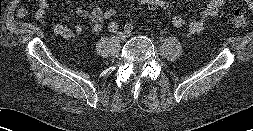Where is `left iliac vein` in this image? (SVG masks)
Instances as JSON below:
<instances>
[{"instance_id": "obj_1", "label": "left iliac vein", "mask_w": 253, "mask_h": 131, "mask_svg": "<svg viewBox=\"0 0 253 131\" xmlns=\"http://www.w3.org/2000/svg\"><path fill=\"white\" fill-rule=\"evenodd\" d=\"M126 37H129L131 35V32H125Z\"/></svg>"}]
</instances>
